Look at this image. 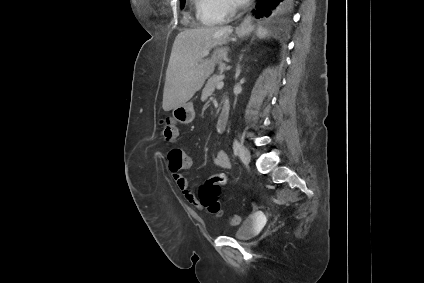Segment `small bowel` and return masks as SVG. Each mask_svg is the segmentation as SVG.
<instances>
[{
  "label": "small bowel",
  "mask_w": 424,
  "mask_h": 283,
  "mask_svg": "<svg viewBox=\"0 0 424 283\" xmlns=\"http://www.w3.org/2000/svg\"><path fill=\"white\" fill-rule=\"evenodd\" d=\"M213 162L217 167L222 169H229L231 167V161L229 159V156L227 155L226 151L223 149H218L215 152ZM190 165H191V159L188 157V166L184 167L183 169L189 168ZM171 172L177 187L180 189L185 199L189 203L195 206H199V200L197 196L195 195V193L193 192V190L190 188L187 178L180 172V170L171 171Z\"/></svg>",
  "instance_id": "1"
}]
</instances>
